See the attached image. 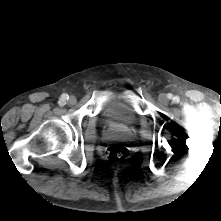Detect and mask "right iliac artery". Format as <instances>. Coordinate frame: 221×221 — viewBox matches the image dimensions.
<instances>
[{"instance_id":"obj_1","label":"right iliac artery","mask_w":221,"mask_h":221,"mask_svg":"<svg viewBox=\"0 0 221 221\" xmlns=\"http://www.w3.org/2000/svg\"><path fill=\"white\" fill-rule=\"evenodd\" d=\"M69 96L67 94H63L59 100V105L60 106H63L66 102V100H68Z\"/></svg>"}]
</instances>
